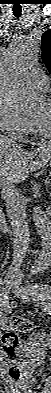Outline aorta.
Wrapping results in <instances>:
<instances>
[{
	"instance_id": "762f6f07",
	"label": "aorta",
	"mask_w": 51,
	"mask_h": 393,
	"mask_svg": "<svg viewBox=\"0 0 51 393\" xmlns=\"http://www.w3.org/2000/svg\"><path fill=\"white\" fill-rule=\"evenodd\" d=\"M39 46L26 37L13 41L1 65V91L11 107L21 113L37 110L41 99L28 74L39 57ZM33 221L41 237L43 250L36 259V267L45 271L51 263V222L38 207L33 208Z\"/></svg>"
}]
</instances>
